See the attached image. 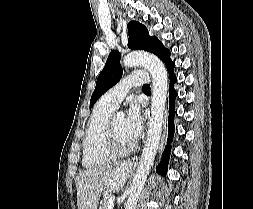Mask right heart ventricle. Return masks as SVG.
Segmentation results:
<instances>
[{
    "label": "right heart ventricle",
    "mask_w": 253,
    "mask_h": 209,
    "mask_svg": "<svg viewBox=\"0 0 253 209\" xmlns=\"http://www.w3.org/2000/svg\"><path fill=\"white\" fill-rule=\"evenodd\" d=\"M114 108L101 99L95 105L87 124L83 139V165L87 168L97 167L108 162L110 156L103 147L104 130Z\"/></svg>",
    "instance_id": "right-heart-ventricle-1"
}]
</instances>
